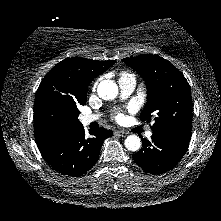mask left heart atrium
<instances>
[{"label": "left heart atrium", "mask_w": 221, "mask_h": 221, "mask_svg": "<svg viewBox=\"0 0 221 221\" xmlns=\"http://www.w3.org/2000/svg\"><path fill=\"white\" fill-rule=\"evenodd\" d=\"M123 117H124V115H123L122 112H117V113L115 114V119H116L117 121H121V120L123 119Z\"/></svg>", "instance_id": "left-heart-atrium-1"}]
</instances>
